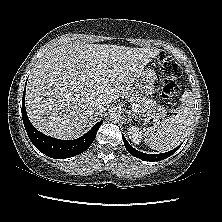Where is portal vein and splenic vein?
Instances as JSON below:
<instances>
[{"instance_id":"1","label":"portal vein and splenic vein","mask_w":222,"mask_h":222,"mask_svg":"<svg viewBox=\"0 0 222 222\" xmlns=\"http://www.w3.org/2000/svg\"><path fill=\"white\" fill-rule=\"evenodd\" d=\"M102 80H104V78H102V77H100V78L98 79V81H102ZM131 105H132L133 109H136V105H135V104H132V103H131ZM154 121L158 122L159 120H158V118H155Z\"/></svg>"}]
</instances>
